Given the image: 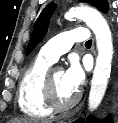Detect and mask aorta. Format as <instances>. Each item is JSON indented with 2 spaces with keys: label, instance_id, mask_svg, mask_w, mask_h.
Segmentation results:
<instances>
[{
  "label": "aorta",
  "instance_id": "aorta-1",
  "mask_svg": "<svg viewBox=\"0 0 118 123\" xmlns=\"http://www.w3.org/2000/svg\"><path fill=\"white\" fill-rule=\"evenodd\" d=\"M65 17L83 20L95 34L98 54L88 99V107L92 112L100 105L110 77L113 57L111 31L102 14L88 6L71 8Z\"/></svg>",
  "mask_w": 118,
  "mask_h": 123
}]
</instances>
